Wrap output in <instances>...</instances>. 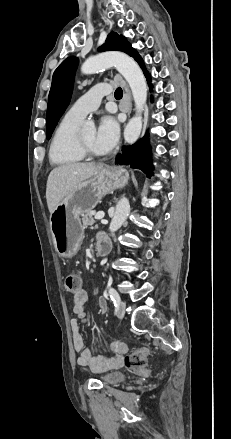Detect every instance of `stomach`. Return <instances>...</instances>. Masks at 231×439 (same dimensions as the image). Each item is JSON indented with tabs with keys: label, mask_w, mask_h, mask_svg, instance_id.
I'll list each match as a JSON object with an SVG mask.
<instances>
[{
	"label": "stomach",
	"mask_w": 231,
	"mask_h": 439,
	"mask_svg": "<svg viewBox=\"0 0 231 439\" xmlns=\"http://www.w3.org/2000/svg\"><path fill=\"white\" fill-rule=\"evenodd\" d=\"M128 173L120 167H103L97 175L76 185L50 215L56 252L71 258L80 249L84 227L80 216L92 210L108 193L123 187Z\"/></svg>",
	"instance_id": "0dacf381"
}]
</instances>
